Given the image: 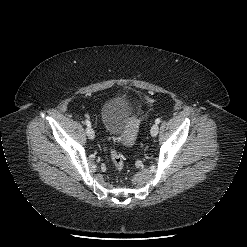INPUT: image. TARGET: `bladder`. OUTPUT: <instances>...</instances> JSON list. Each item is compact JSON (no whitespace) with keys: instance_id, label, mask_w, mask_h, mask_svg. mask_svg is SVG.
I'll return each instance as SVG.
<instances>
[{"instance_id":"bladder-1","label":"bladder","mask_w":247,"mask_h":247,"mask_svg":"<svg viewBox=\"0 0 247 247\" xmlns=\"http://www.w3.org/2000/svg\"><path fill=\"white\" fill-rule=\"evenodd\" d=\"M135 109L125 98L114 97L106 101L100 111L106 134L117 143L130 146L135 139Z\"/></svg>"}]
</instances>
